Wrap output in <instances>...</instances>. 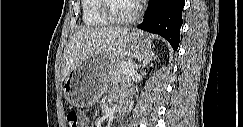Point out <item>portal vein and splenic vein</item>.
<instances>
[{"label":"portal vein and splenic vein","mask_w":243,"mask_h":127,"mask_svg":"<svg viewBox=\"0 0 243 127\" xmlns=\"http://www.w3.org/2000/svg\"><path fill=\"white\" fill-rule=\"evenodd\" d=\"M136 73V71L134 70V68L132 67V68H126V69H124L123 70V74H128V75H133V74H135Z\"/></svg>","instance_id":"obj_1"}]
</instances>
